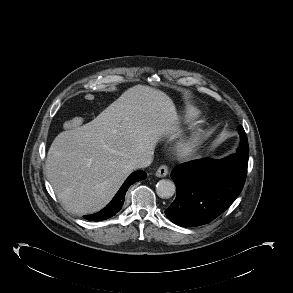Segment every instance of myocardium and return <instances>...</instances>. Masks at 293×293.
Returning a JSON list of instances; mask_svg holds the SVG:
<instances>
[{
	"label": "myocardium",
	"instance_id": "1",
	"mask_svg": "<svg viewBox=\"0 0 293 293\" xmlns=\"http://www.w3.org/2000/svg\"><path fill=\"white\" fill-rule=\"evenodd\" d=\"M200 142V136L194 134L178 144L177 150L181 156H189L195 152Z\"/></svg>",
	"mask_w": 293,
	"mask_h": 293
}]
</instances>
